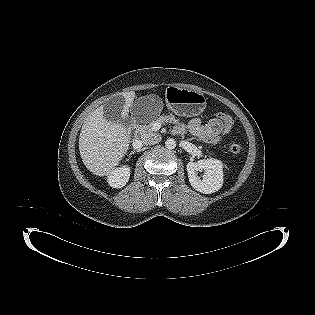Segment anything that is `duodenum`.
<instances>
[{
  "label": "duodenum",
  "instance_id": "410a0bca",
  "mask_svg": "<svg viewBox=\"0 0 315 315\" xmlns=\"http://www.w3.org/2000/svg\"><path fill=\"white\" fill-rule=\"evenodd\" d=\"M131 129H132L133 132L136 131V126L133 125V126L131 127Z\"/></svg>",
  "mask_w": 315,
  "mask_h": 315
}]
</instances>
